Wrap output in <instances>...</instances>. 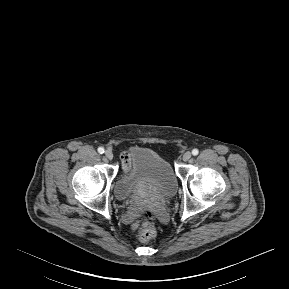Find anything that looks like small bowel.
Listing matches in <instances>:
<instances>
[{"instance_id":"obj_1","label":"small bowel","mask_w":289,"mask_h":289,"mask_svg":"<svg viewBox=\"0 0 289 289\" xmlns=\"http://www.w3.org/2000/svg\"><path fill=\"white\" fill-rule=\"evenodd\" d=\"M128 157H129V153L128 152H124L122 154V162H123V169L125 170L128 166ZM135 229L138 230L137 225H135Z\"/></svg>"}]
</instances>
